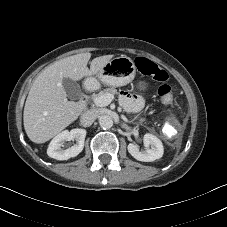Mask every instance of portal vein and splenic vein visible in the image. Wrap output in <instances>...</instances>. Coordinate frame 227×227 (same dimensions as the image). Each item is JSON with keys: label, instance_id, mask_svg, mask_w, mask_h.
Here are the masks:
<instances>
[{"label": "portal vein and splenic vein", "instance_id": "18ae733b", "mask_svg": "<svg viewBox=\"0 0 227 227\" xmlns=\"http://www.w3.org/2000/svg\"><path fill=\"white\" fill-rule=\"evenodd\" d=\"M113 99H114V95L105 94V95L100 96V97H94L93 101H94L96 106L105 107V106H108L112 102Z\"/></svg>", "mask_w": 227, "mask_h": 227}]
</instances>
